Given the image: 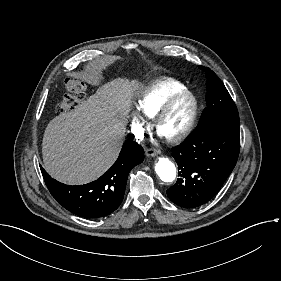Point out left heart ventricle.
<instances>
[{"label": "left heart ventricle", "mask_w": 281, "mask_h": 281, "mask_svg": "<svg viewBox=\"0 0 281 281\" xmlns=\"http://www.w3.org/2000/svg\"><path fill=\"white\" fill-rule=\"evenodd\" d=\"M191 107L192 100L189 97L178 100L163 119L160 127L161 134L168 136L175 133L185 123Z\"/></svg>", "instance_id": "1"}]
</instances>
